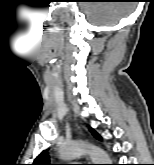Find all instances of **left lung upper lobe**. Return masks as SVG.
I'll return each instance as SVG.
<instances>
[{"mask_svg":"<svg viewBox=\"0 0 154 165\" xmlns=\"http://www.w3.org/2000/svg\"><path fill=\"white\" fill-rule=\"evenodd\" d=\"M95 138L101 140L100 135L93 129H90ZM32 165H51L47 150L42 151L34 160Z\"/></svg>","mask_w":154,"mask_h":165,"instance_id":"left-lung-upper-lobe-1","label":"left lung upper lobe"}]
</instances>
